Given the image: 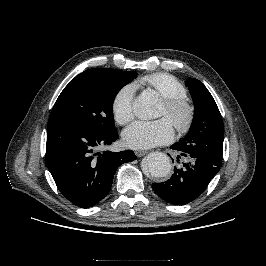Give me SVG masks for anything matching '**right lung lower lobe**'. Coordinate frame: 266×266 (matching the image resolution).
Instances as JSON below:
<instances>
[{
  "instance_id": "right-lung-lower-lobe-1",
  "label": "right lung lower lobe",
  "mask_w": 266,
  "mask_h": 266,
  "mask_svg": "<svg viewBox=\"0 0 266 266\" xmlns=\"http://www.w3.org/2000/svg\"><path fill=\"white\" fill-rule=\"evenodd\" d=\"M117 138L115 130L98 132L68 123H48L45 164L59 191L74 205H96L110 191L117 168L137 159L132 150L98 151Z\"/></svg>"
}]
</instances>
